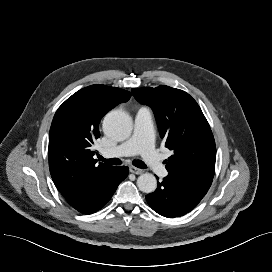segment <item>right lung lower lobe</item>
<instances>
[{
	"instance_id": "right-lung-lower-lobe-1",
	"label": "right lung lower lobe",
	"mask_w": 272,
	"mask_h": 272,
	"mask_svg": "<svg viewBox=\"0 0 272 272\" xmlns=\"http://www.w3.org/2000/svg\"><path fill=\"white\" fill-rule=\"evenodd\" d=\"M128 171V167H116L104 180L83 194L67 199V202L81 213L91 214L96 212L110 200L118 185L127 177Z\"/></svg>"
}]
</instances>
